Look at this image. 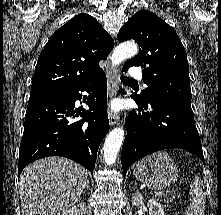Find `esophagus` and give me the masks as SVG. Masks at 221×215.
<instances>
[{
    "mask_svg": "<svg viewBox=\"0 0 221 215\" xmlns=\"http://www.w3.org/2000/svg\"><path fill=\"white\" fill-rule=\"evenodd\" d=\"M116 70L112 69L110 66L106 67V76L108 84V94L110 98H113L118 92V85L116 80ZM119 117L114 112H109V123L111 126L118 124Z\"/></svg>",
    "mask_w": 221,
    "mask_h": 215,
    "instance_id": "1",
    "label": "esophagus"
}]
</instances>
